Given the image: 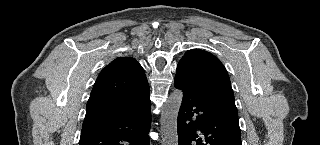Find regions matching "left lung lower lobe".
<instances>
[{"instance_id": "1", "label": "left lung lower lobe", "mask_w": 320, "mask_h": 145, "mask_svg": "<svg viewBox=\"0 0 320 145\" xmlns=\"http://www.w3.org/2000/svg\"><path fill=\"white\" fill-rule=\"evenodd\" d=\"M174 85L183 91L177 123L179 145H242L238 119L219 104L222 82L179 62Z\"/></svg>"}]
</instances>
